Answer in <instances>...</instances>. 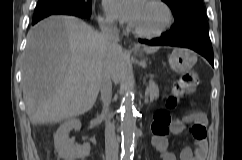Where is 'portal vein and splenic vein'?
Masks as SVG:
<instances>
[{"label":"portal vein and splenic vein","mask_w":242,"mask_h":160,"mask_svg":"<svg viewBox=\"0 0 242 160\" xmlns=\"http://www.w3.org/2000/svg\"><path fill=\"white\" fill-rule=\"evenodd\" d=\"M148 95H147V92H145V97H147ZM146 101H147V98H146Z\"/></svg>","instance_id":"18ae733b"}]
</instances>
